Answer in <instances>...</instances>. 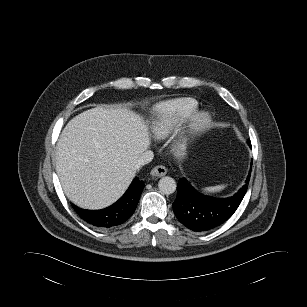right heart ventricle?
Here are the masks:
<instances>
[{
  "instance_id": "1",
  "label": "right heart ventricle",
  "mask_w": 307,
  "mask_h": 307,
  "mask_svg": "<svg viewBox=\"0 0 307 307\" xmlns=\"http://www.w3.org/2000/svg\"><path fill=\"white\" fill-rule=\"evenodd\" d=\"M198 103L190 97L171 99L157 104L152 122V132L158 139L171 135L197 109Z\"/></svg>"
}]
</instances>
